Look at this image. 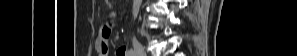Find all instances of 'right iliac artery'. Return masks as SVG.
<instances>
[{"instance_id": "82829eb1", "label": "right iliac artery", "mask_w": 297, "mask_h": 56, "mask_svg": "<svg viewBox=\"0 0 297 56\" xmlns=\"http://www.w3.org/2000/svg\"><path fill=\"white\" fill-rule=\"evenodd\" d=\"M128 55L129 56H136L135 51H133L132 49L128 50Z\"/></svg>"}]
</instances>
